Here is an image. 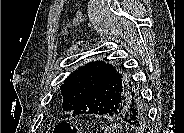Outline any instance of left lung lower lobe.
<instances>
[{
    "label": "left lung lower lobe",
    "mask_w": 184,
    "mask_h": 133,
    "mask_svg": "<svg viewBox=\"0 0 184 133\" xmlns=\"http://www.w3.org/2000/svg\"><path fill=\"white\" fill-rule=\"evenodd\" d=\"M134 83L132 78L128 82L124 81L109 63L99 61L93 87L86 98L74 109L73 116L104 115L121 118L131 126L140 127L132 107L142 95L139 87L137 88ZM135 89L136 91H133ZM95 94H97L96 98L89 101V97Z\"/></svg>",
    "instance_id": "0a47b994"
}]
</instances>
